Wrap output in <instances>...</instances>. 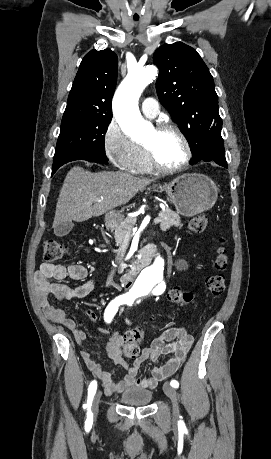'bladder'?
Returning <instances> with one entry per match:
<instances>
[{
    "mask_svg": "<svg viewBox=\"0 0 271 459\" xmlns=\"http://www.w3.org/2000/svg\"><path fill=\"white\" fill-rule=\"evenodd\" d=\"M151 398L152 392L143 389H133L121 395V400L126 405H146Z\"/></svg>",
    "mask_w": 271,
    "mask_h": 459,
    "instance_id": "bladder-1",
    "label": "bladder"
}]
</instances>
